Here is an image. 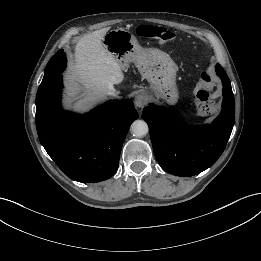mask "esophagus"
<instances>
[{
  "mask_svg": "<svg viewBox=\"0 0 261 261\" xmlns=\"http://www.w3.org/2000/svg\"><path fill=\"white\" fill-rule=\"evenodd\" d=\"M135 106L137 108H143L147 104V96L145 93L140 92L135 96L134 100Z\"/></svg>",
  "mask_w": 261,
  "mask_h": 261,
  "instance_id": "1",
  "label": "esophagus"
}]
</instances>
